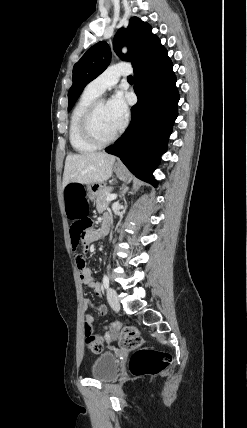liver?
I'll use <instances>...</instances> for the list:
<instances>
[{"instance_id": "liver-1", "label": "liver", "mask_w": 247, "mask_h": 428, "mask_svg": "<svg viewBox=\"0 0 247 428\" xmlns=\"http://www.w3.org/2000/svg\"><path fill=\"white\" fill-rule=\"evenodd\" d=\"M115 156L105 152L70 154L66 157L63 187L69 183L96 184L112 176Z\"/></svg>"}]
</instances>
